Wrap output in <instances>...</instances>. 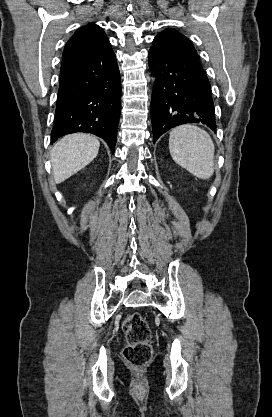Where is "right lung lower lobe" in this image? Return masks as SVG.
<instances>
[{
	"instance_id": "98d812e1",
	"label": "right lung lower lobe",
	"mask_w": 272,
	"mask_h": 417,
	"mask_svg": "<svg viewBox=\"0 0 272 417\" xmlns=\"http://www.w3.org/2000/svg\"><path fill=\"white\" fill-rule=\"evenodd\" d=\"M120 111V72L109 41L90 57L62 61L52 142L74 132L92 133L114 153Z\"/></svg>"
}]
</instances>
